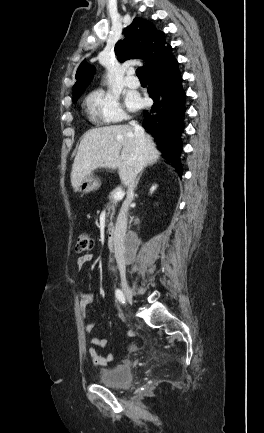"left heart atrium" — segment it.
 Wrapping results in <instances>:
<instances>
[{"mask_svg":"<svg viewBox=\"0 0 264 433\" xmlns=\"http://www.w3.org/2000/svg\"><path fill=\"white\" fill-rule=\"evenodd\" d=\"M126 103L130 109H137L141 106V100L135 95H129L126 99Z\"/></svg>","mask_w":264,"mask_h":433,"instance_id":"39dd6f15","label":"left heart atrium"}]
</instances>
